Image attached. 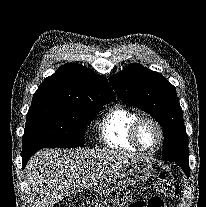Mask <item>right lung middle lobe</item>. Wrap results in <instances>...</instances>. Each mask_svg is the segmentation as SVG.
<instances>
[{
	"label": "right lung middle lobe",
	"instance_id": "right-lung-middle-lobe-1",
	"mask_svg": "<svg viewBox=\"0 0 206 207\" xmlns=\"http://www.w3.org/2000/svg\"><path fill=\"white\" fill-rule=\"evenodd\" d=\"M103 104L34 102L27 113L22 154L45 147L74 148L84 144V132Z\"/></svg>",
	"mask_w": 206,
	"mask_h": 207
}]
</instances>
